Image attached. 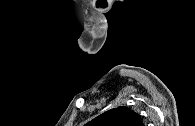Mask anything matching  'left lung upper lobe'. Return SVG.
Returning <instances> with one entry per match:
<instances>
[{
    "mask_svg": "<svg viewBox=\"0 0 195 126\" xmlns=\"http://www.w3.org/2000/svg\"><path fill=\"white\" fill-rule=\"evenodd\" d=\"M86 126H144L141 116L127 107L108 110Z\"/></svg>",
    "mask_w": 195,
    "mask_h": 126,
    "instance_id": "left-lung-upper-lobe-1",
    "label": "left lung upper lobe"
}]
</instances>
